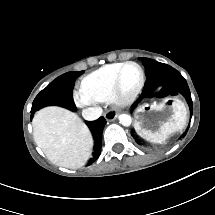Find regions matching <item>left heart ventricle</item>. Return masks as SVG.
<instances>
[{"mask_svg":"<svg viewBox=\"0 0 215 215\" xmlns=\"http://www.w3.org/2000/svg\"><path fill=\"white\" fill-rule=\"evenodd\" d=\"M120 75L121 84L119 88L123 90H128L131 93L138 80V71L133 66H126L123 68Z\"/></svg>","mask_w":215,"mask_h":215,"instance_id":"obj_1","label":"left heart ventricle"}]
</instances>
